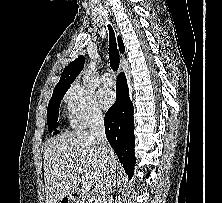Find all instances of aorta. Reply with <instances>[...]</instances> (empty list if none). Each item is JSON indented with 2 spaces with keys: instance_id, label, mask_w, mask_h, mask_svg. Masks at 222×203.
<instances>
[{
  "instance_id": "obj_1",
  "label": "aorta",
  "mask_w": 222,
  "mask_h": 203,
  "mask_svg": "<svg viewBox=\"0 0 222 203\" xmlns=\"http://www.w3.org/2000/svg\"><path fill=\"white\" fill-rule=\"evenodd\" d=\"M97 70V65H96V62H93L91 61L85 71H84V74H83V82H88L90 77L96 72Z\"/></svg>"
}]
</instances>
